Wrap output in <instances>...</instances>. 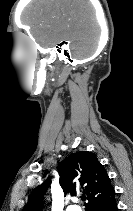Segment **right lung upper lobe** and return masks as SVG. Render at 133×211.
Here are the masks:
<instances>
[{
    "mask_svg": "<svg viewBox=\"0 0 133 211\" xmlns=\"http://www.w3.org/2000/svg\"><path fill=\"white\" fill-rule=\"evenodd\" d=\"M59 182L64 194L76 195L82 191L87 195L86 211H93L99 205L109 204L115 200V191L104 166L96 155L80 151L69 155L59 167ZM51 179L37 186L28 198L23 211H41L43 196L46 194Z\"/></svg>",
    "mask_w": 133,
    "mask_h": 211,
    "instance_id": "obj_1",
    "label": "right lung upper lobe"
}]
</instances>
